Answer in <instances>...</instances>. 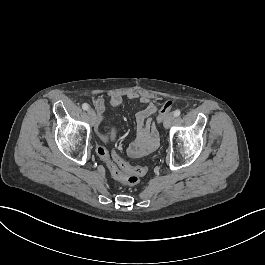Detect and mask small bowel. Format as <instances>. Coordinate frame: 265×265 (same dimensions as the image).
Here are the masks:
<instances>
[{"label":"small bowel","mask_w":265,"mask_h":265,"mask_svg":"<svg viewBox=\"0 0 265 265\" xmlns=\"http://www.w3.org/2000/svg\"><path fill=\"white\" fill-rule=\"evenodd\" d=\"M126 98L130 100H138L139 103L144 106V108L136 115L139 136L128 149V154L131 157H141L153 151L158 145L157 133L152 122V117L157 111L158 104L147 94L139 95L131 92L126 95ZM123 102L124 96L121 93L112 92L110 94L109 103L111 106L119 107ZM94 104L96 112H103L104 105L102 98H95ZM104 162L111 173L113 169L118 168L117 164L110 158V156Z\"/></svg>","instance_id":"small-bowel-1"}]
</instances>
